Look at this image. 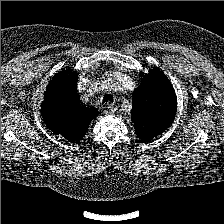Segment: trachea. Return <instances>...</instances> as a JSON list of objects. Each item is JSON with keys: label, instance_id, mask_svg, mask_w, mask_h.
I'll use <instances>...</instances> for the list:
<instances>
[{"label": "trachea", "instance_id": "3493384b", "mask_svg": "<svg viewBox=\"0 0 224 224\" xmlns=\"http://www.w3.org/2000/svg\"><path fill=\"white\" fill-rule=\"evenodd\" d=\"M105 102H113V96L111 94H106L103 98V103Z\"/></svg>", "mask_w": 224, "mask_h": 224}]
</instances>
